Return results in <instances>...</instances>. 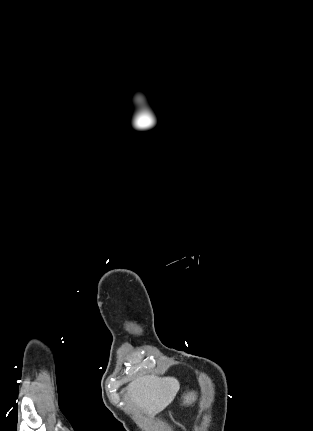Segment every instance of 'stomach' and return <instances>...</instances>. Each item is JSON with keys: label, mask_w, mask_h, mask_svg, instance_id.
<instances>
[{"label": "stomach", "mask_w": 313, "mask_h": 431, "mask_svg": "<svg viewBox=\"0 0 313 431\" xmlns=\"http://www.w3.org/2000/svg\"><path fill=\"white\" fill-rule=\"evenodd\" d=\"M194 401H195L194 396L193 395L192 396L189 395V396H187V397L184 398L183 403L185 405H189V404H192Z\"/></svg>", "instance_id": "stomach-1"}]
</instances>
